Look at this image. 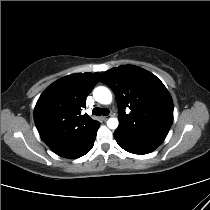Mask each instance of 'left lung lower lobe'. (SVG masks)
<instances>
[{
  "mask_svg": "<svg viewBox=\"0 0 210 210\" xmlns=\"http://www.w3.org/2000/svg\"><path fill=\"white\" fill-rule=\"evenodd\" d=\"M115 140L121 148L134 154H147L154 151L160 144L130 139L114 133Z\"/></svg>",
  "mask_w": 210,
  "mask_h": 210,
  "instance_id": "obj_1",
  "label": "left lung lower lobe"
}]
</instances>
